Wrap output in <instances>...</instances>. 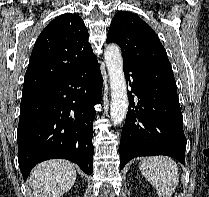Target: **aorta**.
I'll list each match as a JSON object with an SVG mask.
<instances>
[{"label": "aorta", "mask_w": 209, "mask_h": 197, "mask_svg": "<svg viewBox=\"0 0 209 197\" xmlns=\"http://www.w3.org/2000/svg\"><path fill=\"white\" fill-rule=\"evenodd\" d=\"M104 58L111 88L110 116L114 124H120L128 110V95L119 46L109 44L105 49Z\"/></svg>", "instance_id": "1"}]
</instances>
